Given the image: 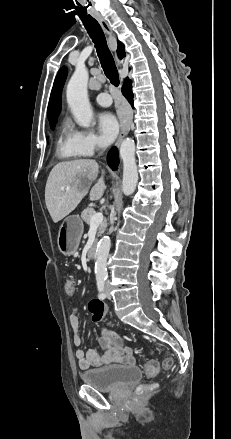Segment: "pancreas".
<instances>
[{"mask_svg":"<svg viewBox=\"0 0 231 439\" xmlns=\"http://www.w3.org/2000/svg\"><path fill=\"white\" fill-rule=\"evenodd\" d=\"M94 214H96V211L92 207H87L81 213V218L86 224L90 225V219ZM106 227H107V221L104 220L98 226V229H97L98 236H100L105 231Z\"/></svg>","mask_w":231,"mask_h":439,"instance_id":"obj_1","label":"pancreas"}]
</instances>
